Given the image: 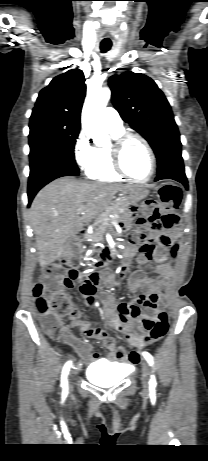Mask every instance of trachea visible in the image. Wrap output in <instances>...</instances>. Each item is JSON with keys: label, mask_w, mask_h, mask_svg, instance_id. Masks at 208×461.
Returning <instances> with one entry per match:
<instances>
[{"label": "trachea", "mask_w": 208, "mask_h": 461, "mask_svg": "<svg viewBox=\"0 0 208 461\" xmlns=\"http://www.w3.org/2000/svg\"><path fill=\"white\" fill-rule=\"evenodd\" d=\"M111 46H112L111 43H101L100 44V49H101L102 53H106L107 51H109L111 49Z\"/></svg>", "instance_id": "trachea-1"}]
</instances>
